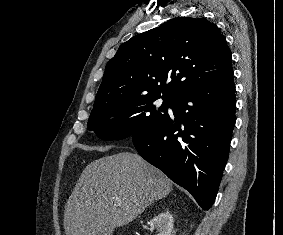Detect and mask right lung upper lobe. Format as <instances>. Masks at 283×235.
<instances>
[{"label": "right lung upper lobe", "mask_w": 283, "mask_h": 235, "mask_svg": "<svg viewBox=\"0 0 283 235\" xmlns=\"http://www.w3.org/2000/svg\"><path fill=\"white\" fill-rule=\"evenodd\" d=\"M232 72L231 51L218 27L206 18L179 17L119 47L106 66L94 106L160 92L172 99Z\"/></svg>", "instance_id": "obj_1"}]
</instances>
